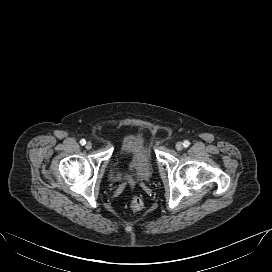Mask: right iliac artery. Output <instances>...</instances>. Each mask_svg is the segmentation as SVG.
<instances>
[{"instance_id":"82829eb1","label":"right iliac artery","mask_w":272,"mask_h":272,"mask_svg":"<svg viewBox=\"0 0 272 272\" xmlns=\"http://www.w3.org/2000/svg\"><path fill=\"white\" fill-rule=\"evenodd\" d=\"M80 144H81V145H85V144H86L85 139H81V140H80Z\"/></svg>"}]
</instances>
